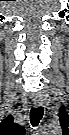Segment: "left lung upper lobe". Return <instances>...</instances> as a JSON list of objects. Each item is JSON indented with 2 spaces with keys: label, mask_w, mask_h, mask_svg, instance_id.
Here are the masks:
<instances>
[{
  "label": "left lung upper lobe",
  "mask_w": 69,
  "mask_h": 135,
  "mask_svg": "<svg viewBox=\"0 0 69 135\" xmlns=\"http://www.w3.org/2000/svg\"><path fill=\"white\" fill-rule=\"evenodd\" d=\"M67 116V113L64 109H61L60 110V119L63 118V117H66Z\"/></svg>",
  "instance_id": "obj_1"
}]
</instances>
